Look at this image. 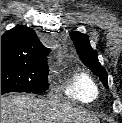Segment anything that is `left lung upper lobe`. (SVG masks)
Returning a JSON list of instances; mask_svg holds the SVG:
<instances>
[{
	"label": "left lung upper lobe",
	"instance_id": "obj_1",
	"mask_svg": "<svg viewBox=\"0 0 122 123\" xmlns=\"http://www.w3.org/2000/svg\"><path fill=\"white\" fill-rule=\"evenodd\" d=\"M70 37L75 45L81 61L89 67L95 75L99 76L103 85L108 88L107 72L99 63L96 51H94L90 46L88 36L80 32H71Z\"/></svg>",
	"mask_w": 122,
	"mask_h": 123
}]
</instances>
